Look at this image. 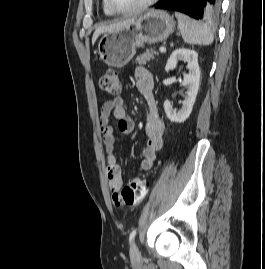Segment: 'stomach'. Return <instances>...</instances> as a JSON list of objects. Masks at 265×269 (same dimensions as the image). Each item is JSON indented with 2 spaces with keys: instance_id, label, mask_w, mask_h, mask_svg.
I'll return each mask as SVG.
<instances>
[{
  "instance_id": "stomach-1",
  "label": "stomach",
  "mask_w": 265,
  "mask_h": 269,
  "mask_svg": "<svg viewBox=\"0 0 265 269\" xmlns=\"http://www.w3.org/2000/svg\"><path fill=\"white\" fill-rule=\"evenodd\" d=\"M174 28V18L167 11L151 10L119 30L105 32L98 43L100 59L108 66L121 68L133 58L137 47L164 41Z\"/></svg>"
}]
</instances>
